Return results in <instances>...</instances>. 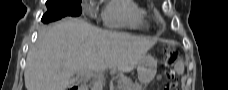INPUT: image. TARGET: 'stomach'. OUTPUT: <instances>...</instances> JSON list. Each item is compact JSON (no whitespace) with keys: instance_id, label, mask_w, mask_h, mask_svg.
Returning <instances> with one entry per match:
<instances>
[{"instance_id":"0dacf381","label":"stomach","mask_w":228,"mask_h":90,"mask_svg":"<svg viewBox=\"0 0 228 90\" xmlns=\"http://www.w3.org/2000/svg\"><path fill=\"white\" fill-rule=\"evenodd\" d=\"M138 78L141 83L148 84L157 72V60L151 55H144L137 64Z\"/></svg>"}]
</instances>
